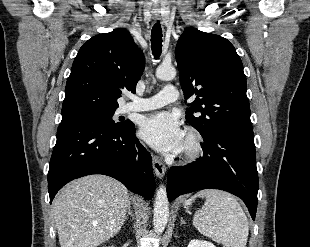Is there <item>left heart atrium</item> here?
<instances>
[{"mask_svg": "<svg viewBox=\"0 0 310 247\" xmlns=\"http://www.w3.org/2000/svg\"><path fill=\"white\" fill-rule=\"evenodd\" d=\"M140 135L151 146L164 153L178 152L184 142L180 123L169 112H158L147 117L141 126Z\"/></svg>", "mask_w": 310, "mask_h": 247, "instance_id": "left-heart-atrium-1", "label": "left heart atrium"}]
</instances>
